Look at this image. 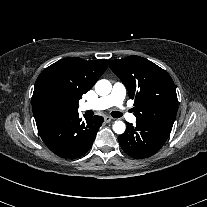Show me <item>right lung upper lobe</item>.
Returning <instances> with one entry per match:
<instances>
[{
    "instance_id": "right-lung-upper-lobe-1",
    "label": "right lung upper lobe",
    "mask_w": 207,
    "mask_h": 207,
    "mask_svg": "<svg viewBox=\"0 0 207 207\" xmlns=\"http://www.w3.org/2000/svg\"><path fill=\"white\" fill-rule=\"evenodd\" d=\"M107 65L106 59L86 61L70 57L44 69L36 80L32 96L37 128L78 114L79 100L93 87Z\"/></svg>"
}]
</instances>
